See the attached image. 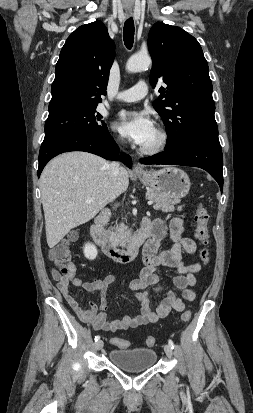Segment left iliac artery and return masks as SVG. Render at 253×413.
I'll return each instance as SVG.
<instances>
[{"label":"left iliac artery","instance_id":"1","mask_svg":"<svg viewBox=\"0 0 253 413\" xmlns=\"http://www.w3.org/2000/svg\"><path fill=\"white\" fill-rule=\"evenodd\" d=\"M168 343H169L170 347H171L172 349H174V342H173L171 339L169 340Z\"/></svg>","mask_w":253,"mask_h":413}]
</instances>
